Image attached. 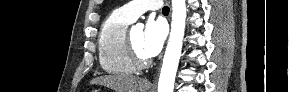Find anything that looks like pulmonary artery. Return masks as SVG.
<instances>
[{"instance_id": "pulmonary-artery-1", "label": "pulmonary artery", "mask_w": 289, "mask_h": 92, "mask_svg": "<svg viewBox=\"0 0 289 92\" xmlns=\"http://www.w3.org/2000/svg\"><path fill=\"white\" fill-rule=\"evenodd\" d=\"M161 7V0H135L120 7L119 11L130 20L135 21L147 10H158Z\"/></svg>"}]
</instances>
